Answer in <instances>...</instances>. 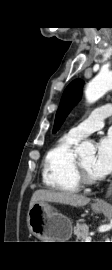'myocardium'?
I'll return each instance as SVG.
<instances>
[{"instance_id": "f54148a6", "label": "myocardium", "mask_w": 112, "mask_h": 270, "mask_svg": "<svg viewBox=\"0 0 112 270\" xmlns=\"http://www.w3.org/2000/svg\"><path fill=\"white\" fill-rule=\"evenodd\" d=\"M74 171L80 185L83 186L94 185L98 181L97 177H93L87 173V171L82 166L79 158L77 157L75 158L74 162Z\"/></svg>"}]
</instances>
